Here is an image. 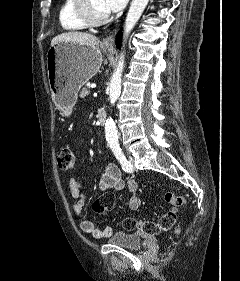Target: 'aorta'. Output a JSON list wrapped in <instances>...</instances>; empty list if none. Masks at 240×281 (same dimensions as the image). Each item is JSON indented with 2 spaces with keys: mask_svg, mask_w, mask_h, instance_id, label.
Wrapping results in <instances>:
<instances>
[{
  "mask_svg": "<svg viewBox=\"0 0 240 281\" xmlns=\"http://www.w3.org/2000/svg\"><path fill=\"white\" fill-rule=\"evenodd\" d=\"M148 2L149 0H132L124 25V44L130 32L141 17ZM124 59V51H122L116 69L111 77L109 93L111 104H114L117 101L121 93V79L125 63ZM105 137L108 143H115L118 141L116 125L111 117L105 122Z\"/></svg>",
  "mask_w": 240,
  "mask_h": 281,
  "instance_id": "obj_1",
  "label": "aorta"
}]
</instances>
